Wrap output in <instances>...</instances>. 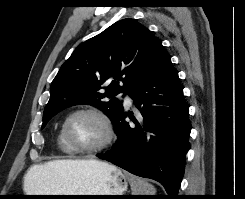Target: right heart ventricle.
Segmentation results:
<instances>
[{"label": "right heart ventricle", "mask_w": 245, "mask_h": 199, "mask_svg": "<svg viewBox=\"0 0 245 199\" xmlns=\"http://www.w3.org/2000/svg\"><path fill=\"white\" fill-rule=\"evenodd\" d=\"M56 141H57L58 147L61 149L62 152H64L67 155L74 154V152L72 151V149L69 147V145L66 143L64 139L62 129L59 130Z\"/></svg>", "instance_id": "right-heart-ventricle-1"}]
</instances>
